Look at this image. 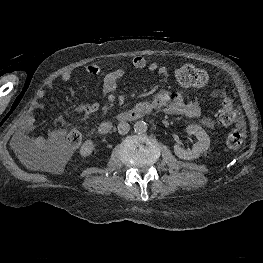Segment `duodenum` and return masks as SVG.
<instances>
[{"mask_svg": "<svg viewBox=\"0 0 263 263\" xmlns=\"http://www.w3.org/2000/svg\"><path fill=\"white\" fill-rule=\"evenodd\" d=\"M152 111L151 105L148 102H143L135 105L129 110L117 114L110 120L102 121L98 125V131L101 134H108L116 122L134 121L140 119L145 114Z\"/></svg>", "mask_w": 263, "mask_h": 263, "instance_id": "1", "label": "duodenum"}]
</instances>
